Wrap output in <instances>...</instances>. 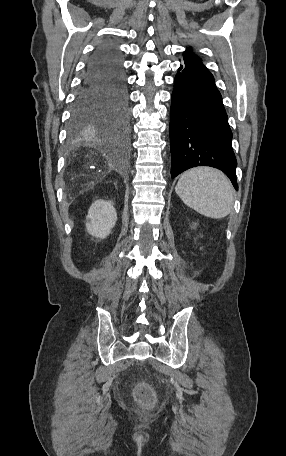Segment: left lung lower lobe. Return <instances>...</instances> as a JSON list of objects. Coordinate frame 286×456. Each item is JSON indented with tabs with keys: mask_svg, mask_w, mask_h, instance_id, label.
Wrapping results in <instances>:
<instances>
[{
	"mask_svg": "<svg viewBox=\"0 0 286 456\" xmlns=\"http://www.w3.org/2000/svg\"><path fill=\"white\" fill-rule=\"evenodd\" d=\"M170 109L171 177L195 166L222 170L238 190L232 132L214 77L198 60H184Z\"/></svg>",
	"mask_w": 286,
	"mask_h": 456,
	"instance_id": "0a47b994",
	"label": "left lung lower lobe"
}]
</instances>
